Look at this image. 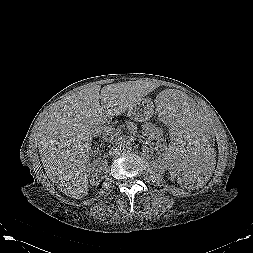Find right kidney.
Listing matches in <instances>:
<instances>
[{
	"mask_svg": "<svg viewBox=\"0 0 253 253\" xmlns=\"http://www.w3.org/2000/svg\"><path fill=\"white\" fill-rule=\"evenodd\" d=\"M94 170H95V168H94V166H93V164H88L87 165V172H88V175H89V181H90V184H92V186H95V185H98L99 183H98V181H95V177H96V179L98 178L97 177V173H93L94 172Z\"/></svg>",
	"mask_w": 253,
	"mask_h": 253,
	"instance_id": "right-kidney-1",
	"label": "right kidney"
}]
</instances>
